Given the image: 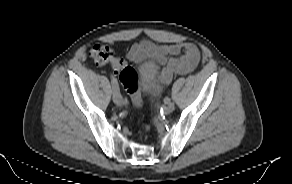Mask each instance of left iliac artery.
Wrapping results in <instances>:
<instances>
[{"label": "left iliac artery", "mask_w": 292, "mask_h": 184, "mask_svg": "<svg viewBox=\"0 0 292 184\" xmlns=\"http://www.w3.org/2000/svg\"><path fill=\"white\" fill-rule=\"evenodd\" d=\"M169 102H170V98L165 97V98H164V103H165V104H168Z\"/></svg>", "instance_id": "left-iliac-artery-1"}]
</instances>
